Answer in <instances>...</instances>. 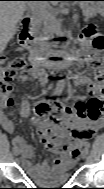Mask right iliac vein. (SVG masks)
Segmentation results:
<instances>
[{
  "mask_svg": "<svg viewBox=\"0 0 104 189\" xmlns=\"http://www.w3.org/2000/svg\"><path fill=\"white\" fill-rule=\"evenodd\" d=\"M13 153H14L15 156H18V155L20 154L19 148H18V147H15V148L13 149Z\"/></svg>",
  "mask_w": 104,
  "mask_h": 189,
  "instance_id": "63e3f726",
  "label": "right iliac vein"
}]
</instances>
